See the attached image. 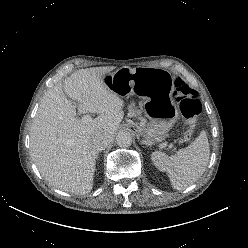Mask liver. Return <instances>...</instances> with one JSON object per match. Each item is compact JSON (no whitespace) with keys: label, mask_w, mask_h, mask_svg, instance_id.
<instances>
[{"label":"liver","mask_w":248,"mask_h":248,"mask_svg":"<svg viewBox=\"0 0 248 248\" xmlns=\"http://www.w3.org/2000/svg\"><path fill=\"white\" fill-rule=\"evenodd\" d=\"M114 68L80 69L41 99L30 129V155L53 187L76 195L92 190L98 154L92 139L97 134L112 139L124 116L123 100L103 82ZM76 108L98 116L84 121Z\"/></svg>","instance_id":"obj_1"}]
</instances>
